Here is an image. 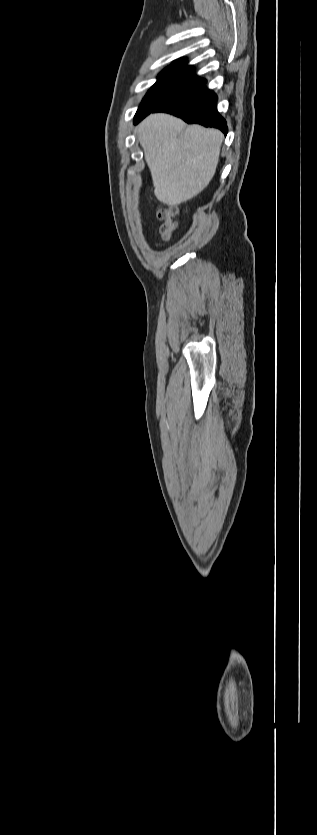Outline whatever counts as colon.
<instances>
[{"label":"colon","mask_w":317,"mask_h":835,"mask_svg":"<svg viewBox=\"0 0 317 835\" xmlns=\"http://www.w3.org/2000/svg\"><path fill=\"white\" fill-rule=\"evenodd\" d=\"M178 209L174 205H163L157 210V216L162 221L161 232L166 236L170 235L176 228V215Z\"/></svg>","instance_id":"obj_1"}]
</instances>
